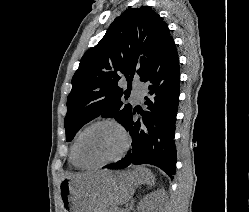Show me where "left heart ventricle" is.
<instances>
[{
    "instance_id": "b2bd125f",
    "label": "left heart ventricle",
    "mask_w": 249,
    "mask_h": 212,
    "mask_svg": "<svg viewBox=\"0 0 249 212\" xmlns=\"http://www.w3.org/2000/svg\"><path fill=\"white\" fill-rule=\"evenodd\" d=\"M122 138L112 126L103 125L88 131L78 145V156L85 164H97L116 156Z\"/></svg>"
}]
</instances>
